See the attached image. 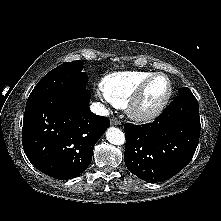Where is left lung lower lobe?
Wrapping results in <instances>:
<instances>
[{"instance_id":"1","label":"left lung lower lobe","mask_w":221,"mask_h":221,"mask_svg":"<svg viewBox=\"0 0 221 221\" xmlns=\"http://www.w3.org/2000/svg\"><path fill=\"white\" fill-rule=\"evenodd\" d=\"M200 129L199 106L193 95L178 96L153 123L125 124L128 170L149 182L170 178L193 157Z\"/></svg>"}]
</instances>
